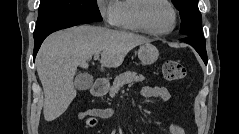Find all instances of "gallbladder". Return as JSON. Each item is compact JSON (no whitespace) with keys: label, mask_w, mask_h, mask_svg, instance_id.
I'll list each match as a JSON object with an SVG mask.
<instances>
[{"label":"gallbladder","mask_w":239,"mask_h":134,"mask_svg":"<svg viewBox=\"0 0 239 134\" xmlns=\"http://www.w3.org/2000/svg\"><path fill=\"white\" fill-rule=\"evenodd\" d=\"M93 83V77L88 74H79L76 76L74 85L78 90H86L91 87Z\"/></svg>","instance_id":"bac80fb5"}]
</instances>
